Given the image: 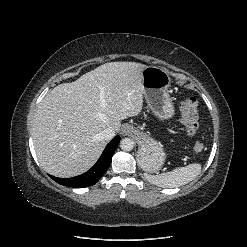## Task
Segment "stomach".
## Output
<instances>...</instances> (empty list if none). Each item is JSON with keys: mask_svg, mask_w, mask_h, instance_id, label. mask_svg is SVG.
I'll return each mask as SVG.
<instances>
[{"mask_svg": "<svg viewBox=\"0 0 247 247\" xmlns=\"http://www.w3.org/2000/svg\"><path fill=\"white\" fill-rule=\"evenodd\" d=\"M144 96L153 114L160 120L174 116V106L169 95L171 79L169 72L156 66H146L141 73ZM139 144L138 162L148 173L158 172L165 163L166 153L161 144L140 131L135 130Z\"/></svg>", "mask_w": 247, "mask_h": 247, "instance_id": "1", "label": "stomach"}]
</instances>
